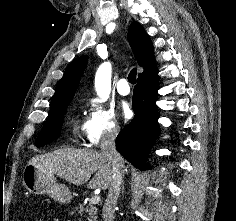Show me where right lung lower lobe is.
<instances>
[{"label": "right lung lower lobe", "mask_w": 236, "mask_h": 221, "mask_svg": "<svg viewBox=\"0 0 236 221\" xmlns=\"http://www.w3.org/2000/svg\"><path fill=\"white\" fill-rule=\"evenodd\" d=\"M159 88L157 68L139 76L132 102L135 117L116 139L119 153L140 170L147 168L145 162L159 134V112L156 106Z\"/></svg>", "instance_id": "98d812e1"}]
</instances>
